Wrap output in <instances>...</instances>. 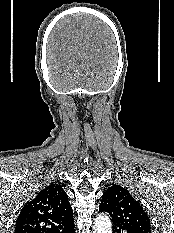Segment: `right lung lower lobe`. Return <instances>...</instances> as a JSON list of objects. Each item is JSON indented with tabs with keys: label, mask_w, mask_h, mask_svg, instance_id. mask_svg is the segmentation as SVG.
<instances>
[{
	"label": "right lung lower lobe",
	"mask_w": 174,
	"mask_h": 233,
	"mask_svg": "<svg viewBox=\"0 0 174 233\" xmlns=\"http://www.w3.org/2000/svg\"><path fill=\"white\" fill-rule=\"evenodd\" d=\"M73 228H74V225H73V227H72L69 231H67V232H65V233H74Z\"/></svg>",
	"instance_id": "1"
}]
</instances>
